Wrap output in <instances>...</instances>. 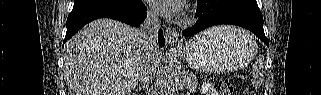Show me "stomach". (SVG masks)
Segmentation results:
<instances>
[{
	"label": "stomach",
	"instance_id": "1",
	"mask_svg": "<svg viewBox=\"0 0 321 95\" xmlns=\"http://www.w3.org/2000/svg\"><path fill=\"white\" fill-rule=\"evenodd\" d=\"M183 53L187 64L194 70L230 72L242 68L256 55L257 44L241 29L232 28L219 34L208 30L188 42Z\"/></svg>",
	"mask_w": 321,
	"mask_h": 95
}]
</instances>
